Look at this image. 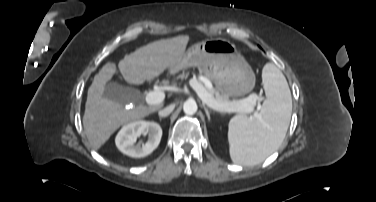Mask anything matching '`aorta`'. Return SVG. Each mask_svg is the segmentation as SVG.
Masks as SVG:
<instances>
[{"label": "aorta", "mask_w": 376, "mask_h": 202, "mask_svg": "<svg viewBox=\"0 0 376 202\" xmlns=\"http://www.w3.org/2000/svg\"><path fill=\"white\" fill-rule=\"evenodd\" d=\"M198 106L195 100L189 99L183 104V111L187 115H193L197 112Z\"/></svg>", "instance_id": "762f6f07"}]
</instances>
